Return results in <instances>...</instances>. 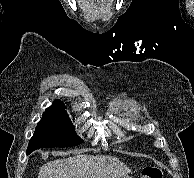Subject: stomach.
<instances>
[{"instance_id":"obj_1","label":"stomach","mask_w":194,"mask_h":178,"mask_svg":"<svg viewBox=\"0 0 194 178\" xmlns=\"http://www.w3.org/2000/svg\"><path fill=\"white\" fill-rule=\"evenodd\" d=\"M117 178H131V177L128 176V175H123V176H120V177H117Z\"/></svg>"}]
</instances>
